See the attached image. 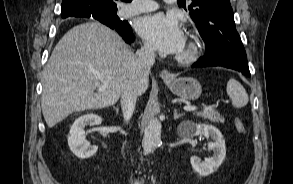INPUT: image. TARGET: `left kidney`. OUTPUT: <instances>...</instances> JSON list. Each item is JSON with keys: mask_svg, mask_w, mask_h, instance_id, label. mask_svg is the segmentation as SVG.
<instances>
[{"mask_svg": "<svg viewBox=\"0 0 293 184\" xmlns=\"http://www.w3.org/2000/svg\"><path fill=\"white\" fill-rule=\"evenodd\" d=\"M190 135H204L207 139L210 137L213 142L208 143L209 150L213 151V156L205 162H200L198 157H191L192 168L201 176H208L216 171L225 159L226 147L225 140L221 132L212 125L192 124Z\"/></svg>", "mask_w": 293, "mask_h": 184, "instance_id": "obj_1", "label": "left kidney"}]
</instances>
